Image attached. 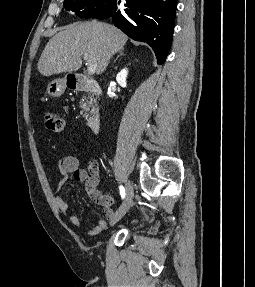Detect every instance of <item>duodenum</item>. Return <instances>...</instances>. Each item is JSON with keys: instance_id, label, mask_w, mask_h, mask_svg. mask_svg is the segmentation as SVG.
Returning a JSON list of instances; mask_svg holds the SVG:
<instances>
[{"instance_id": "410a0bca", "label": "duodenum", "mask_w": 255, "mask_h": 287, "mask_svg": "<svg viewBox=\"0 0 255 287\" xmlns=\"http://www.w3.org/2000/svg\"><path fill=\"white\" fill-rule=\"evenodd\" d=\"M68 87L74 91L89 92L93 95H98L100 93V88L98 84L87 78H75L68 82ZM101 117L98 112H93L90 114L87 125L92 132H97L100 128Z\"/></svg>"}]
</instances>
